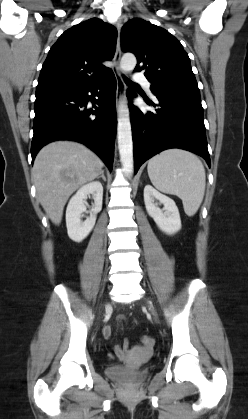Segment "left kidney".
<instances>
[{
	"mask_svg": "<svg viewBox=\"0 0 248 419\" xmlns=\"http://www.w3.org/2000/svg\"><path fill=\"white\" fill-rule=\"evenodd\" d=\"M163 204V209L158 207V203ZM144 202L147 213L153 218L160 230L172 235L181 229V220L175 202L168 196L161 194L151 185L144 188Z\"/></svg>",
	"mask_w": 248,
	"mask_h": 419,
	"instance_id": "5707ae66",
	"label": "left kidney"
}]
</instances>
